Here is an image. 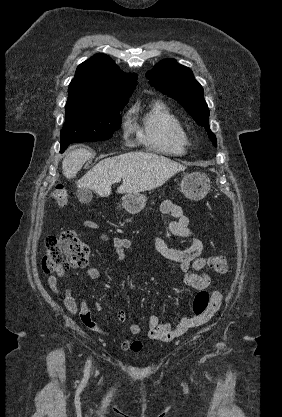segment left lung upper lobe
<instances>
[{
	"instance_id": "1",
	"label": "left lung upper lobe",
	"mask_w": 282,
	"mask_h": 417,
	"mask_svg": "<svg viewBox=\"0 0 282 417\" xmlns=\"http://www.w3.org/2000/svg\"><path fill=\"white\" fill-rule=\"evenodd\" d=\"M146 77L156 89L177 100L206 129L213 145L217 146L216 137L209 129V109L203 88L188 67L178 64L174 59H165L147 72Z\"/></svg>"
}]
</instances>
